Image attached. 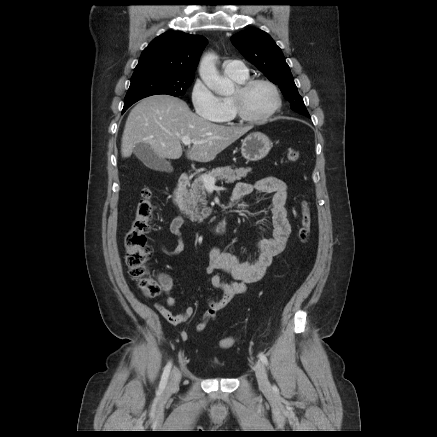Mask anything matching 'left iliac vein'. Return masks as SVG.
Instances as JSON below:
<instances>
[{
    "instance_id": "obj_1",
    "label": "left iliac vein",
    "mask_w": 437,
    "mask_h": 437,
    "mask_svg": "<svg viewBox=\"0 0 437 437\" xmlns=\"http://www.w3.org/2000/svg\"><path fill=\"white\" fill-rule=\"evenodd\" d=\"M254 371L256 374V378L259 384V387L262 391L268 393L271 391V385L267 377L266 369L264 364L261 361H257L254 367Z\"/></svg>"
}]
</instances>
